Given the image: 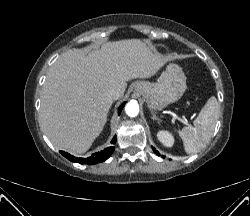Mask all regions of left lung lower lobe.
Wrapping results in <instances>:
<instances>
[{"mask_svg": "<svg viewBox=\"0 0 250 216\" xmlns=\"http://www.w3.org/2000/svg\"><path fill=\"white\" fill-rule=\"evenodd\" d=\"M152 149L157 155H159V152L154 147H152Z\"/></svg>", "mask_w": 250, "mask_h": 216, "instance_id": "left-lung-lower-lobe-1", "label": "left lung lower lobe"}]
</instances>
